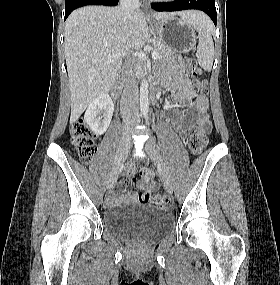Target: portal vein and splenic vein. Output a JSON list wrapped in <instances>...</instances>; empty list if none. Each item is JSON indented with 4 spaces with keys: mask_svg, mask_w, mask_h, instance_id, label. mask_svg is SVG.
Segmentation results:
<instances>
[{
    "mask_svg": "<svg viewBox=\"0 0 280 285\" xmlns=\"http://www.w3.org/2000/svg\"><path fill=\"white\" fill-rule=\"evenodd\" d=\"M126 56V53H119V54H113V55H110L108 57V61H112L116 58H120V57H124ZM133 56L135 57H138V59L142 60L145 58V54L144 53H141V52H136V53H133ZM159 58V54L156 52V51H153L152 52V59H158Z\"/></svg>",
    "mask_w": 280,
    "mask_h": 285,
    "instance_id": "18ae733b",
    "label": "portal vein and splenic vein"
}]
</instances>
